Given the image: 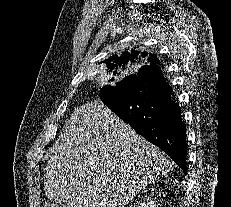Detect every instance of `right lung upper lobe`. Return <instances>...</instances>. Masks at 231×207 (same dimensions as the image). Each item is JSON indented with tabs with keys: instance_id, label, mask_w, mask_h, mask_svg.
<instances>
[{
	"instance_id": "obj_1",
	"label": "right lung upper lobe",
	"mask_w": 231,
	"mask_h": 207,
	"mask_svg": "<svg viewBox=\"0 0 231 207\" xmlns=\"http://www.w3.org/2000/svg\"><path fill=\"white\" fill-rule=\"evenodd\" d=\"M147 53H142L139 55L138 52L132 50L131 53L125 51L120 56L114 55L109 57L107 62V67L110 73L114 75H120L124 70H129L134 63L149 61L151 65H157L159 62L156 55L150 54V57H146ZM143 67V66H142Z\"/></svg>"
}]
</instances>
